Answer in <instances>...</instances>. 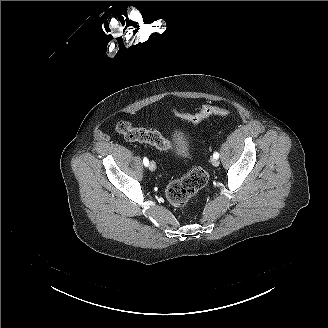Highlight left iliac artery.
<instances>
[{"instance_id": "44dca946", "label": "left iliac artery", "mask_w": 328, "mask_h": 328, "mask_svg": "<svg viewBox=\"0 0 328 328\" xmlns=\"http://www.w3.org/2000/svg\"><path fill=\"white\" fill-rule=\"evenodd\" d=\"M213 157L216 158V159H218V158H219V154H218V152H215V153L213 154Z\"/></svg>"}]
</instances>
